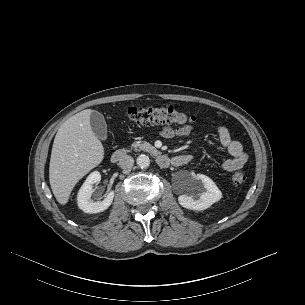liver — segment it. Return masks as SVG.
<instances>
[{
	"instance_id": "6515ba94",
	"label": "liver",
	"mask_w": 305,
	"mask_h": 305,
	"mask_svg": "<svg viewBox=\"0 0 305 305\" xmlns=\"http://www.w3.org/2000/svg\"><path fill=\"white\" fill-rule=\"evenodd\" d=\"M93 110H83L67 119L54 139L49 181L56 200L65 205L77 182L98 166L104 158V148L94 134L90 116Z\"/></svg>"
}]
</instances>
